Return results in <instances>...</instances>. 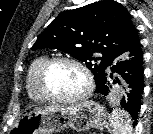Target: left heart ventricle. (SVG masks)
Listing matches in <instances>:
<instances>
[{"mask_svg": "<svg viewBox=\"0 0 153 134\" xmlns=\"http://www.w3.org/2000/svg\"><path fill=\"white\" fill-rule=\"evenodd\" d=\"M48 90L61 97L80 94L85 88V77L77 67L60 63L52 66L46 77Z\"/></svg>", "mask_w": 153, "mask_h": 134, "instance_id": "obj_1", "label": "left heart ventricle"}]
</instances>
